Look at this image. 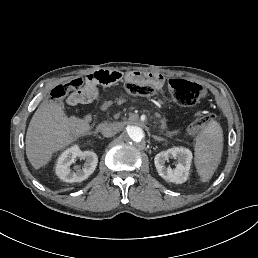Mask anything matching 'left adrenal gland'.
I'll return each mask as SVG.
<instances>
[{
  "label": "left adrenal gland",
  "instance_id": "a2214340",
  "mask_svg": "<svg viewBox=\"0 0 258 258\" xmlns=\"http://www.w3.org/2000/svg\"><path fill=\"white\" fill-rule=\"evenodd\" d=\"M152 137H153L154 139H156L157 141H162V140H163L162 137H159V136H157V135H152Z\"/></svg>",
  "mask_w": 258,
  "mask_h": 258
}]
</instances>
